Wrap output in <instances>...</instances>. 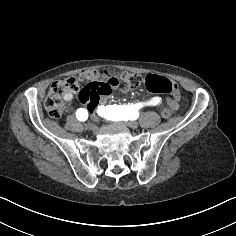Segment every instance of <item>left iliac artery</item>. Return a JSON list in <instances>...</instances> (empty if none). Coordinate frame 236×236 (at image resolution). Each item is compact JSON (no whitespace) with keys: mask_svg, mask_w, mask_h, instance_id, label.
<instances>
[{"mask_svg":"<svg viewBox=\"0 0 236 236\" xmlns=\"http://www.w3.org/2000/svg\"><path fill=\"white\" fill-rule=\"evenodd\" d=\"M161 98L154 97L146 105H157L160 102ZM145 103H128V105H107L98 106L97 113L99 116L106 118L111 121H121V120H131L138 112L140 108L143 107Z\"/></svg>","mask_w":236,"mask_h":236,"instance_id":"44dca946","label":"left iliac artery"}]
</instances>
